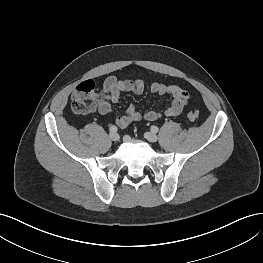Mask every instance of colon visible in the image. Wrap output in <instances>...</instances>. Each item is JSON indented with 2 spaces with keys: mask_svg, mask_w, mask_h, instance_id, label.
<instances>
[{
  "mask_svg": "<svg viewBox=\"0 0 263 263\" xmlns=\"http://www.w3.org/2000/svg\"><path fill=\"white\" fill-rule=\"evenodd\" d=\"M99 95L100 91L93 81L87 80L80 83L71 96V110L75 114H83L94 110ZM188 117L190 120L195 121L199 117V112L191 110Z\"/></svg>",
  "mask_w": 263,
  "mask_h": 263,
  "instance_id": "1",
  "label": "colon"
}]
</instances>
